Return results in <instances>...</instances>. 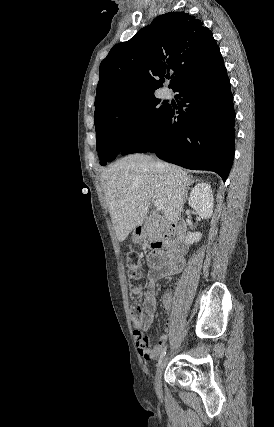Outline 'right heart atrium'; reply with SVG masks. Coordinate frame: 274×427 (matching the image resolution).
Instances as JSON below:
<instances>
[{
  "label": "right heart atrium",
  "instance_id": "d8ad5b80",
  "mask_svg": "<svg viewBox=\"0 0 274 427\" xmlns=\"http://www.w3.org/2000/svg\"><path fill=\"white\" fill-rule=\"evenodd\" d=\"M140 127V120L139 119H134L133 120V130L134 131H138Z\"/></svg>",
  "mask_w": 274,
  "mask_h": 427
}]
</instances>
